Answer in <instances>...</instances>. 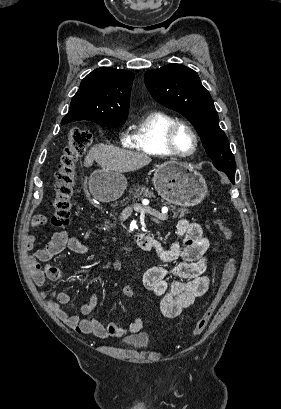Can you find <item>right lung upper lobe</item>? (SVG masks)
I'll use <instances>...</instances> for the list:
<instances>
[{
    "mask_svg": "<svg viewBox=\"0 0 281 409\" xmlns=\"http://www.w3.org/2000/svg\"><path fill=\"white\" fill-rule=\"evenodd\" d=\"M134 74L127 70L101 67L81 82L61 124L78 120L126 121Z\"/></svg>",
    "mask_w": 281,
    "mask_h": 409,
    "instance_id": "1",
    "label": "right lung upper lobe"
}]
</instances>
